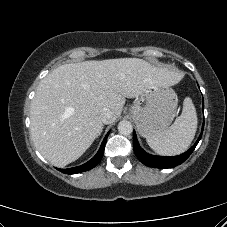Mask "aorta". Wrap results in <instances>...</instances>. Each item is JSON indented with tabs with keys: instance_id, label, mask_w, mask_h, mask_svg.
Instances as JSON below:
<instances>
[{
	"instance_id": "762f6f07",
	"label": "aorta",
	"mask_w": 227,
	"mask_h": 227,
	"mask_svg": "<svg viewBox=\"0 0 227 227\" xmlns=\"http://www.w3.org/2000/svg\"><path fill=\"white\" fill-rule=\"evenodd\" d=\"M118 131L122 135H130L133 131L131 122L127 120L120 121L118 124Z\"/></svg>"
}]
</instances>
